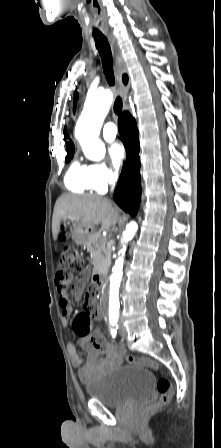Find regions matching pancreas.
Wrapping results in <instances>:
<instances>
[{
    "label": "pancreas",
    "instance_id": "pancreas-1",
    "mask_svg": "<svg viewBox=\"0 0 221 448\" xmlns=\"http://www.w3.org/2000/svg\"><path fill=\"white\" fill-rule=\"evenodd\" d=\"M86 247L91 254L94 271L97 273L106 271L110 265V254L106 249V239L99 233H93L86 241Z\"/></svg>",
    "mask_w": 221,
    "mask_h": 448
}]
</instances>
